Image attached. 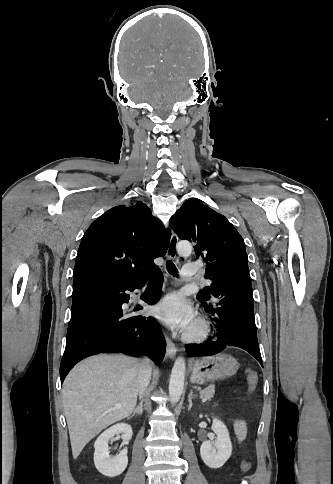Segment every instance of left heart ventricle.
Here are the masks:
<instances>
[{"label": "left heart ventricle", "instance_id": "obj_1", "mask_svg": "<svg viewBox=\"0 0 333 484\" xmlns=\"http://www.w3.org/2000/svg\"><path fill=\"white\" fill-rule=\"evenodd\" d=\"M195 327L194 323L192 324V326L190 327V329H193Z\"/></svg>", "mask_w": 333, "mask_h": 484}]
</instances>
